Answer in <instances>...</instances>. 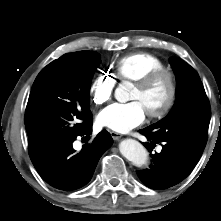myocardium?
<instances>
[{
  "label": "myocardium",
  "mask_w": 221,
  "mask_h": 221,
  "mask_svg": "<svg viewBox=\"0 0 221 221\" xmlns=\"http://www.w3.org/2000/svg\"><path fill=\"white\" fill-rule=\"evenodd\" d=\"M166 79L169 87V93L167 96V99L163 106L155 111H149L147 112L148 116L155 119H160L165 117L173 108L176 99H177V80L176 76L173 71H171L168 68H160L153 70L151 72H148L141 78H139L137 81H135V85L141 89H146L150 87L152 84H154L159 79Z\"/></svg>",
  "instance_id": "1"
}]
</instances>
